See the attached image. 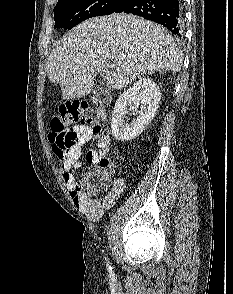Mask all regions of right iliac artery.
Wrapping results in <instances>:
<instances>
[{
  "instance_id": "obj_1",
  "label": "right iliac artery",
  "mask_w": 233,
  "mask_h": 294,
  "mask_svg": "<svg viewBox=\"0 0 233 294\" xmlns=\"http://www.w3.org/2000/svg\"><path fill=\"white\" fill-rule=\"evenodd\" d=\"M106 261H107V270H108V272H109L110 274H112V267H111V265L109 264L108 259H106Z\"/></svg>"
}]
</instances>
